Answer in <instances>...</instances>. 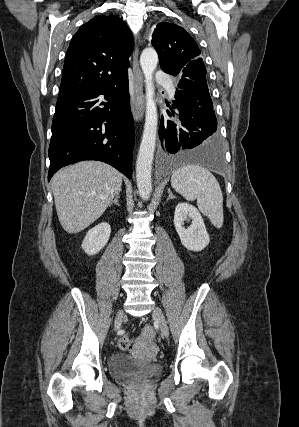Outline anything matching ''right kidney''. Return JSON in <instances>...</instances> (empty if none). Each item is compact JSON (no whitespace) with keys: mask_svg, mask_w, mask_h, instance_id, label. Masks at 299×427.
<instances>
[{"mask_svg":"<svg viewBox=\"0 0 299 427\" xmlns=\"http://www.w3.org/2000/svg\"><path fill=\"white\" fill-rule=\"evenodd\" d=\"M111 227L107 222H102L89 230L82 242V249L89 256L97 254L107 244Z\"/></svg>","mask_w":299,"mask_h":427,"instance_id":"right-kidney-1","label":"right kidney"}]
</instances>
